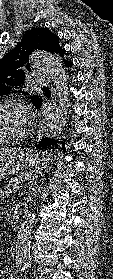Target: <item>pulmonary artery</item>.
Masks as SVG:
<instances>
[{
  "mask_svg": "<svg viewBox=\"0 0 113 279\" xmlns=\"http://www.w3.org/2000/svg\"><path fill=\"white\" fill-rule=\"evenodd\" d=\"M49 82V78L44 74H36L34 77V83L38 85H46Z\"/></svg>",
  "mask_w": 113,
  "mask_h": 279,
  "instance_id": "pulmonary-artery-1",
  "label": "pulmonary artery"
}]
</instances>
